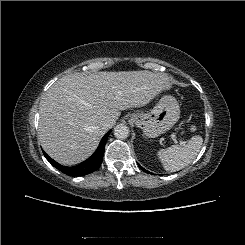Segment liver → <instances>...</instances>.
<instances>
[{
	"mask_svg": "<svg viewBox=\"0 0 245 245\" xmlns=\"http://www.w3.org/2000/svg\"><path fill=\"white\" fill-rule=\"evenodd\" d=\"M170 88L167 74L147 70L66 75L40 102L42 148L63 165L81 163L106 133L101 127L104 121H116L120 111L145 106Z\"/></svg>",
	"mask_w": 245,
	"mask_h": 245,
	"instance_id": "6515ba94",
	"label": "liver"
}]
</instances>
